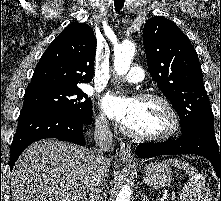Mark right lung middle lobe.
I'll use <instances>...</instances> for the list:
<instances>
[{
	"label": "right lung middle lobe",
	"instance_id": "1",
	"mask_svg": "<svg viewBox=\"0 0 221 201\" xmlns=\"http://www.w3.org/2000/svg\"><path fill=\"white\" fill-rule=\"evenodd\" d=\"M28 110L69 114L85 121H91L93 115L91 99L80 88L29 87L21 112Z\"/></svg>",
	"mask_w": 221,
	"mask_h": 201
}]
</instances>
